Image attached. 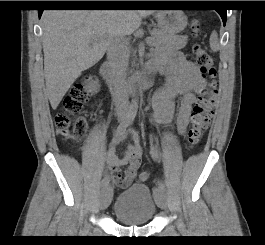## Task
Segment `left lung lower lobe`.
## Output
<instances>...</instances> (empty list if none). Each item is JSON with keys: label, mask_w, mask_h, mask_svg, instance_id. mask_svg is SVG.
Returning a JSON list of instances; mask_svg holds the SVG:
<instances>
[{"label": "left lung lower lobe", "mask_w": 265, "mask_h": 245, "mask_svg": "<svg viewBox=\"0 0 265 245\" xmlns=\"http://www.w3.org/2000/svg\"><path fill=\"white\" fill-rule=\"evenodd\" d=\"M152 4L154 6H175L177 4H180V1H154V2H152ZM216 11L220 14V16L223 20V23L225 25L226 24V18H227L226 10L220 9V10H216Z\"/></svg>", "instance_id": "left-lung-lower-lobe-1"}]
</instances>
